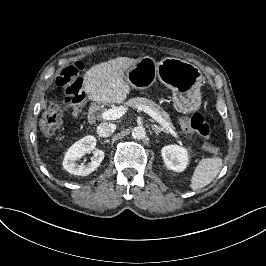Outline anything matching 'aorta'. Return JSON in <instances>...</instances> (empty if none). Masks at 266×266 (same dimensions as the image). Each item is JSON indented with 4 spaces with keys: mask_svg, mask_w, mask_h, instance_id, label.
I'll return each instance as SVG.
<instances>
[{
    "mask_svg": "<svg viewBox=\"0 0 266 266\" xmlns=\"http://www.w3.org/2000/svg\"><path fill=\"white\" fill-rule=\"evenodd\" d=\"M132 137L137 140H142L146 137V130L143 126H136L132 129Z\"/></svg>",
    "mask_w": 266,
    "mask_h": 266,
    "instance_id": "aorta-1",
    "label": "aorta"
}]
</instances>
